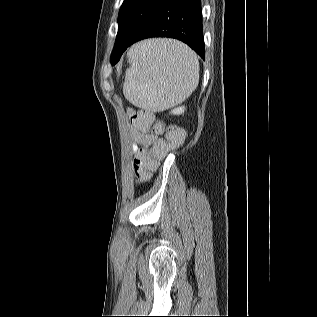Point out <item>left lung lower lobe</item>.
<instances>
[{
  "label": "left lung lower lobe",
  "instance_id": "obj_1",
  "mask_svg": "<svg viewBox=\"0 0 317 317\" xmlns=\"http://www.w3.org/2000/svg\"><path fill=\"white\" fill-rule=\"evenodd\" d=\"M200 0H165L146 20L134 37L115 44L111 62L117 63L132 44L151 37H170L189 45L202 59L205 57Z\"/></svg>",
  "mask_w": 317,
  "mask_h": 317
}]
</instances>
